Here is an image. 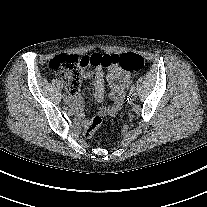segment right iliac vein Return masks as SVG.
Here are the masks:
<instances>
[{"mask_svg":"<svg viewBox=\"0 0 207 207\" xmlns=\"http://www.w3.org/2000/svg\"><path fill=\"white\" fill-rule=\"evenodd\" d=\"M64 99V102L66 103V104H70V100H69V98H63Z\"/></svg>","mask_w":207,"mask_h":207,"instance_id":"1","label":"right iliac vein"}]
</instances>
